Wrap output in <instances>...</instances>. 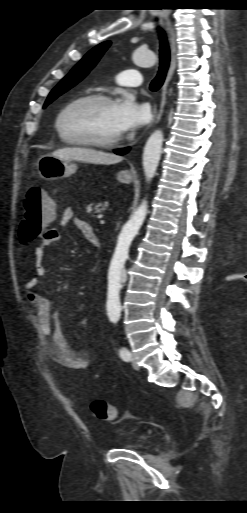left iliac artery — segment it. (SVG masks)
Instances as JSON below:
<instances>
[{
    "mask_svg": "<svg viewBox=\"0 0 247 513\" xmlns=\"http://www.w3.org/2000/svg\"><path fill=\"white\" fill-rule=\"evenodd\" d=\"M119 354H120V357H121L124 361H130V360H131V353L129 352V350H128L126 347H122V348L119 350Z\"/></svg>",
    "mask_w": 247,
    "mask_h": 513,
    "instance_id": "obj_1",
    "label": "left iliac artery"
}]
</instances>
